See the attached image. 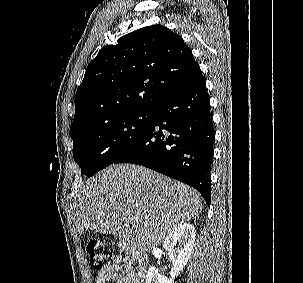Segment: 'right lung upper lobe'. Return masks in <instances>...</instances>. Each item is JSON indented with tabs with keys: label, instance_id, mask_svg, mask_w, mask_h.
I'll return each instance as SVG.
<instances>
[{
	"label": "right lung upper lobe",
	"instance_id": "right-lung-upper-lobe-1",
	"mask_svg": "<svg viewBox=\"0 0 303 283\" xmlns=\"http://www.w3.org/2000/svg\"><path fill=\"white\" fill-rule=\"evenodd\" d=\"M200 77L181 36L162 25L135 30L89 63L75 95L71 134L130 112L149 111Z\"/></svg>",
	"mask_w": 303,
	"mask_h": 283
}]
</instances>
